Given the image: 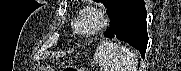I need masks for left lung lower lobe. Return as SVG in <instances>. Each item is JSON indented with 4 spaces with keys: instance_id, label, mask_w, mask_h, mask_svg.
Masks as SVG:
<instances>
[{
    "instance_id": "1",
    "label": "left lung lower lobe",
    "mask_w": 181,
    "mask_h": 71,
    "mask_svg": "<svg viewBox=\"0 0 181 71\" xmlns=\"http://www.w3.org/2000/svg\"><path fill=\"white\" fill-rule=\"evenodd\" d=\"M107 13L110 16L111 24L104 35L129 43L144 57L148 34L143 0H116Z\"/></svg>"
}]
</instances>
